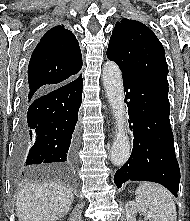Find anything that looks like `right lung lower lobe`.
<instances>
[{"mask_svg": "<svg viewBox=\"0 0 190 221\" xmlns=\"http://www.w3.org/2000/svg\"><path fill=\"white\" fill-rule=\"evenodd\" d=\"M82 87V75H79L30 97L24 94L15 151L18 171L75 163Z\"/></svg>", "mask_w": 190, "mask_h": 221, "instance_id": "obj_1", "label": "right lung lower lobe"}]
</instances>
